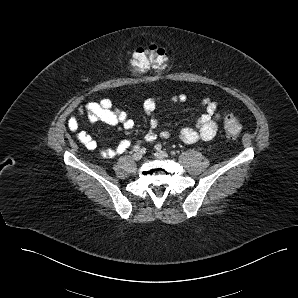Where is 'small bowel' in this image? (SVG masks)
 <instances>
[{
  "instance_id": "c3829d8e",
  "label": "small bowel",
  "mask_w": 298,
  "mask_h": 298,
  "mask_svg": "<svg viewBox=\"0 0 298 298\" xmlns=\"http://www.w3.org/2000/svg\"><path fill=\"white\" fill-rule=\"evenodd\" d=\"M170 100L173 103H182L187 100V96L183 93L173 95ZM161 98H148L143 103L144 111L149 115V129L144 136V141L151 143L157 140L170 138V133L167 130L156 132L159 122L155 116V110ZM201 105L205 112L198 118L196 128H184L180 132V140L186 144H193L199 141L212 140L218 131V123L220 121V113L216 101L205 97L201 100ZM82 117H87L91 122L101 121L111 126H122L126 130H131L134 127V121L123 110L113 106L110 99L104 98L98 102H90L81 106L76 115L72 116L68 125L69 128L76 132L77 140L83 146L90 150H98L101 156L105 158H114L124 153L131 145L128 139H122L116 146L112 148H100L97 142L85 131H78L79 120Z\"/></svg>"
}]
</instances>
